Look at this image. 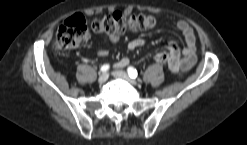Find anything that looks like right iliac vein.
I'll return each mask as SVG.
<instances>
[{
  "mask_svg": "<svg viewBox=\"0 0 247 145\" xmlns=\"http://www.w3.org/2000/svg\"><path fill=\"white\" fill-rule=\"evenodd\" d=\"M108 78H109L108 73L105 72V73L101 74L99 79H98L99 84L105 83L108 80Z\"/></svg>",
  "mask_w": 247,
  "mask_h": 145,
  "instance_id": "right-iliac-vein-1",
  "label": "right iliac vein"
}]
</instances>
